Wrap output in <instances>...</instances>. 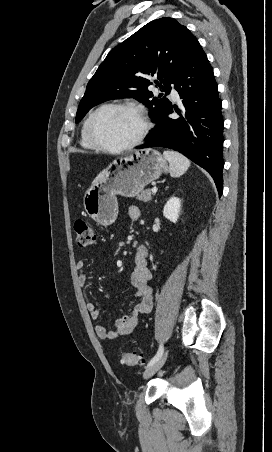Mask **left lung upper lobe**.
<instances>
[{"label":"left lung upper lobe","instance_id":"left-lung-upper-lobe-1","mask_svg":"<svg viewBox=\"0 0 272 452\" xmlns=\"http://www.w3.org/2000/svg\"><path fill=\"white\" fill-rule=\"evenodd\" d=\"M196 37L175 19L151 21L113 48L90 79L80 101L78 123L94 106L111 99L135 98L149 109L152 121L165 111L169 100L148 91L152 78L165 95L197 43Z\"/></svg>","mask_w":272,"mask_h":452}]
</instances>
